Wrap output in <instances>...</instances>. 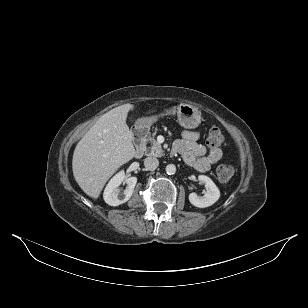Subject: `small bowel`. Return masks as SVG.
Returning a JSON list of instances; mask_svg holds the SVG:
<instances>
[{
	"instance_id": "small-bowel-1",
	"label": "small bowel",
	"mask_w": 308,
	"mask_h": 308,
	"mask_svg": "<svg viewBox=\"0 0 308 308\" xmlns=\"http://www.w3.org/2000/svg\"><path fill=\"white\" fill-rule=\"evenodd\" d=\"M199 133L192 130H184L182 138L173 145L175 153L180 154L184 162L199 172L208 171L222 158L219 148L207 151L206 147L198 142Z\"/></svg>"
}]
</instances>
